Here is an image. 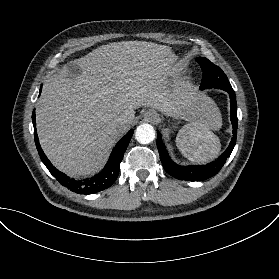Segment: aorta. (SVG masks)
Instances as JSON below:
<instances>
[{"mask_svg":"<svg viewBox=\"0 0 279 279\" xmlns=\"http://www.w3.org/2000/svg\"><path fill=\"white\" fill-rule=\"evenodd\" d=\"M136 140L141 144L151 143L155 139V129L150 124H141L135 132Z\"/></svg>","mask_w":279,"mask_h":279,"instance_id":"1","label":"aorta"}]
</instances>
